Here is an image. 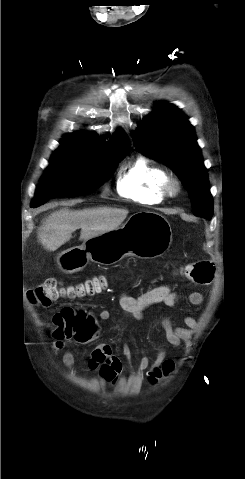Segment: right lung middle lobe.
<instances>
[{
    "instance_id": "right-lung-middle-lobe-1",
    "label": "right lung middle lobe",
    "mask_w": 245,
    "mask_h": 479,
    "mask_svg": "<svg viewBox=\"0 0 245 479\" xmlns=\"http://www.w3.org/2000/svg\"><path fill=\"white\" fill-rule=\"evenodd\" d=\"M128 151H100L61 142L52 155L31 206L49 199L86 195L101 186Z\"/></svg>"
}]
</instances>
